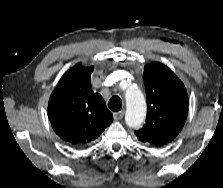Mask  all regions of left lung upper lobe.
<instances>
[{
  "instance_id": "1",
  "label": "left lung upper lobe",
  "mask_w": 223,
  "mask_h": 188,
  "mask_svg": "<svg viewBox=\"0 0 223 188\" xmlns=\"http://www.w3.org/2000/svg\"><path fill=\"white\" fill-rule=\"evenodd\" d=\"M144 70L147 118L135 135L146 146L162 147L182 130L188 114V95L180 79L164 64L152 62Z\"/></svg>"
}]
</instances>
